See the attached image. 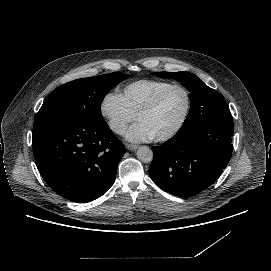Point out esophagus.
<instances>
[{"instance_id":"1","label":"esophagus","mask_w":271,"mask_h":271,"mask_svg":"<svg viewBox=\"0 0 271 271\" xmlns=\"http://www.w3.org/2000/svg\"><path fill=\"white\" fill-rule=\"evenodd\" d=\"M126 148L129 151H133V150H137L138 145H135V144H126Z\"/></svg>"}]
</instances>
